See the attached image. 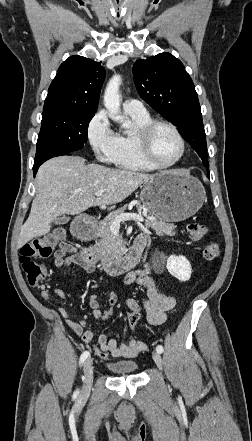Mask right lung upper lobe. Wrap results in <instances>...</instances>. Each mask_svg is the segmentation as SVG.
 Segmentation results:
<instances>
[{
    "mask_svg": "<svg viewBox=\"0 0 252 441\" xmlns=\"http://www.w3.org/2000/svg\"><path fill=\"white\" fill-rule=\"evenodd\" d=\"M104 78L101 62L82 56L69 57L49 87L43 110L96 112Z\"/></svg>",
    "mask_w": 252,
    "mask_h": 441,
    "instance_id": "cb5924a9",
    "label": "right lung upper lobe"
}]
</instances>
